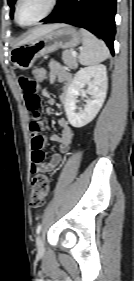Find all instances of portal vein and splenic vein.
Returning a JSON list of instances; mask_svg holds the SVG:
<instances>
[{
  "mask_svg": "<svg viewBox=\"0 0 134 281\" xmlns=\"http://www.w3.org/2000/svg\"><path fill=\"white\" fill-rule=\"evenodd\" d=\"M72 56H76L77 52L76 51H71Z\"/></svg>",
  "mask_w": 134,
  "mask_h": 281,
  "instance_id": "18ae733b",
  "label": "portal vein and splenic vein"
}]
</instances>
